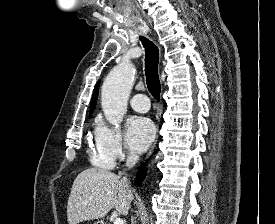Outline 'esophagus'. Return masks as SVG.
Instances as JSON below:
<instances>
[{"label": "esophagus", "mask_w": 275, "mask_h": 224, "mask_svg": "<svg viewBox=\"0 0 275 224\" xmlns=\"http://www.w3.org/2000/svg\"><path fill=\"white\" fill-rule=\"evenodd\" d=\"M155 144H156V142L154 143V145H153L152 148L150 149L149 153L147 154V157H149V156L152 154L153 149H154V147H155Z\"/></svg>", "instance_id": "esophagus-1"}]
</instances>
